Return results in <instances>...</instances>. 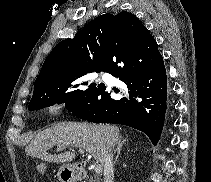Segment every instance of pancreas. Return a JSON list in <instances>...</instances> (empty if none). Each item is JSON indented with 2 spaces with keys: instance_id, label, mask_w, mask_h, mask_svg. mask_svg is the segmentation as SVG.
I'll list each match as a JSON object with an SVG mask.
<instances>
[{
  "instance_id": "cf45deb5",
  "label": "pancreas",
  "mask_w": 211,
  "mask_h": 182,
  "mask_svg": "<svg viewBox=\"0 0 211 182\" xmlns=\"http://www.w3.org/2000/svg\"><path fill=\"white\" fill-rule=\"evenodd\" d=\"M88 182H98V180L91 178Z\"/></svg>"
}]
</instances>
